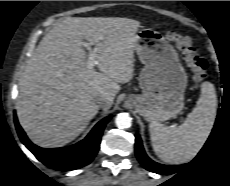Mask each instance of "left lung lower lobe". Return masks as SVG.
Here are the masks:
<instances>
[{
    "label": "left lung lower lobe",
    "mask_w": 230,
    "mask_h": 186,
    "mask_svg": "<svg viewBox=\"0 0 230 186\" xmlns=\"http://www.w3.org/2000/svg\"><path fill=\"white\" fill-rule=\"evenodd\" d=\"M135 152L137 159L145 169L158 174L170 175L178 172L183 168L186 169L190 165V163L184 165H162L152 161L146 155L142 146V141L138 134L135 136Z\"/></svg>",
    "instance_id": "0a47b994"
}]
</instances>
